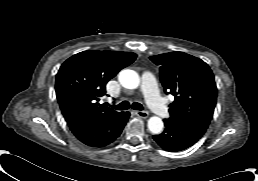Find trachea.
Returning <instances> with one entry per match:
<instances>
[{"label":"trachea","instance_id":"3493384b","mask_svg":"<svg viewBox=\"0 0 258 181\" xmlns=\"http://www.w3.org/2000/svg\"><path fill=\"white\" fill-rule=\"evenodd\" d=\"M132 107L134 110H143V106L140 103L134 102L132 105L128 101H123L118 105L113 106L114 109L116 110H127Z\"/></svg>","mask_w":258,"mask_h":181}]
</instances>
